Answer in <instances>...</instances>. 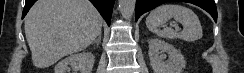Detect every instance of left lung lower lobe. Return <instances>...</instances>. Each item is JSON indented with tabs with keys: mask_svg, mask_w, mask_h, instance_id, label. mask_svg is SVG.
I'll list each match as a JSON object with an SVG mask.
<instances>
[{
	"mask_svg": "<svg viewBox=\"0 0 244 73\" xmlns=\"http://www.w3.org/2000/svg\"><path fill=\"white\" fill-rule=\"evenodd\" d=\"M172 1L189 2V3L195 4V5L203 8L204 10H206L208 13H210L211 16L214 18V20L217 21V9H216L214 0H186V1H183V0H136L135 20L137 21L138 18L145 12H148L163 3L172 2Z\"/></svg>",
	"mask_w": 244,
	"mask_h": 73,
	"instance_id": "1",
	"label": "left lung lower lobe"
}]
</instances>
